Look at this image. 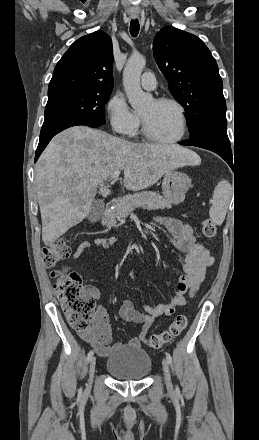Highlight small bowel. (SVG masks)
I'll return each instance as SVG.
<instances>
[{"mask_svg":"<svg viewBox=\"0 0 259 440\" xmlns=\"http://www.w3.org/2000/svg\"><path fill=\"white\" fill-rule=\"evenodd\" d=\"M156 222L167 230L169 243L184 255V263L182 273L178 278L176 292L169 301L153 306L145 305L143 310L136 309L134 303L129 299L123 301L119 310L120 318L126 322L141 325L139 335L129 341L133 347L141 345L156 318L161 315L173 314L177 307L186 303L187 298H192L195 295L204 280L206 269L214 262L209 250L196 239L193 229L188 223L169 217H157ZM117 240L116 237H98L92 243L83 241L75 250L73 258L81 257L92 245L107 248ZM130 276L136 279V270H132ZM91 292L95 297H99L95 288H91ZM77 332L81 339L95 348L99 356H106L119 347V343L112 344L111 342V328L107 313L102 306L97 308L92 326L84 330H77Z\"/></svg>","mask_w":259,"mask_h":440,"instance_id":"obj_1","label":"small bowel"}]
</instances>
